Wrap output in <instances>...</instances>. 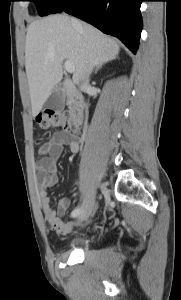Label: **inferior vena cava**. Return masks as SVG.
Returning a JSON list of instances; mask_svg holds the SVG:
<instances>
[{
    "instance_id": "obj_1",
    "label": "inferior vena cava",
    "mask_w": 181,
    "mask_h": 300,
    "mask_svg": "<svg viewBox=\"0 0 181 300\" xmlns=\"http://www.w3.org/2000/svg\"><path fill=\"white\" fill-rule=\"evenodd\" d=\"M72 23L73 24H77V21L75 19H72ZM90 71H91V67L88 68L87 78H86V80H85V82H84V84L82 86V90L83 91H86L88 89V87H89L88 75H89Z\"/></svg>"
}]
</instances>
